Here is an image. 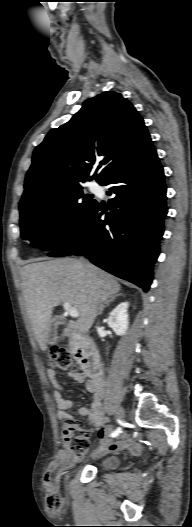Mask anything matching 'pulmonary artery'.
<instances>
[{
    "label": "pulmonary artery",
    "mask_w": 192,
    "mask_h": 527,
    "mask_svg": "<svg viewBox=\"0 0 192 527\" xmlns=\"http://www.w3.org/2000/svg\"><path fill=\"white\" fill-rule=\"evenodd\" d=\"M89 187H90L91 190H95L96 189V184L92 183V184H90Z\"/></svg>",
    "instance_id": "e3ab8cb5"
}]
</instances>
